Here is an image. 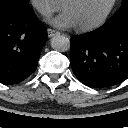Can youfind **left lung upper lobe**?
I'll use <instances>...</instances> for the list:
<instances>
[{
  "label": "left lung upper lobe",
  "mask_w": 128,
  "mask_h": 128,
  "mask_svg": "<svg viewBox=\"0 0 128 128\" xmlns=\"http://www.w3.org/2000/svg\"><path fill=\"white\" fill-rule=\"evenodd\" d=\"M125 13H128V0L122 1L120 9L111 18H116Z\"/></svg>",
  "instance_id": "obj_1"
}]
</instances>
